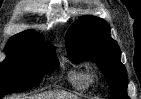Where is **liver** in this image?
<instances>
[{
	"label": "liver",
	"instance_id": "6515ba94",
	"mask_svg": "<svg viewBox=\"0 0 141 99\" xmlns=\"http://www.w3.org/2000/svg\"><path fill=\"white\" fill-rule=\"evenodd\" d=\"M31 99H78V97L67 92L46 91L33 96Z\"/></svg>",
	"mask_w": 141,
	"mask_h": 99
}]
</instances>
